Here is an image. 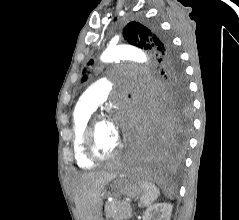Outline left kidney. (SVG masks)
I'll list each match as a JSON object with an SVG mask.
<instances>
[{
    "instance_id": "5707ae66",
    "label": "left kidney",
    "mask_w": 239,
    "mask_h": 220,
    "mask_svg": "<svg viewBox=\"0 0 239 220\" xmlns=\"http://www.w3.org/2000/svg\"><path fill=\"white\" fill-rule=\"evenodd\" d=\"M173 206L169 203H157L147 208L143 220H170Z\"/></svg>"
}]
</instances>
